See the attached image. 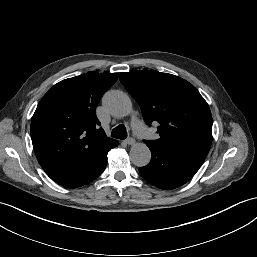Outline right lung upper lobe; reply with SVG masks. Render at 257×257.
<instances>
[{"mask_svg": "<svg viewBox=\"0 0 257 257\" xmlns=\"http://www.w3.org/2000/svg\"><path fill=\"white\" fill-rule=\"evenodd\" d=\"M117 78L88 72L65 79L39 102L30 133L38 161L52 179L78 174L116 143L99 127L95 109Z\"/></svg>", "mask_w": 257, "mask_h": 257, "instance_id": "obj_1", "label": "right lung upper lobe"}]
</instances>
